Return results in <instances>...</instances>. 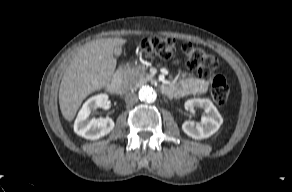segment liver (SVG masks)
Here are the masks:
<instances>
[{"label": "liver", "instance_id": "1", "mask_svg": "<svg viewBox=\"0 0 292 192\" xmlns=\"http://www.w3.org/2000/svg\"><path fill=\"white\" fill-rule=\"evenodd\" d=\"M127 42L123 38H104L81 47L68 65L59 88L63 117L72 121L83 100L107 86L115 71L114 49Z\"/></svg>", "mask_w": 292, "mask_h": 192}]
</instances>
